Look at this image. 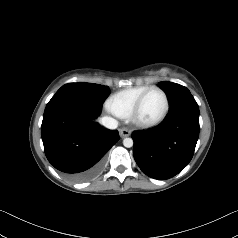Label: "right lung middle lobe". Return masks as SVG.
<instances>
[{"label":"right lung middle lobe","instance_id":"1","mask_svg":"<svg viewBox=\"0 0 238 238\" xmlns=\"http://www.w3.org/2000/svg\"><path fill=\"white\" fill-rule=\"evenodd\" d=\"M109 91L108 86H102L99 84L70 83L62 86L56 94H75L86 100L102 104L109 94Z\"/></svg>","mask_w":238,"mask_h":238}]
</instances>
